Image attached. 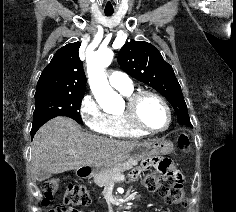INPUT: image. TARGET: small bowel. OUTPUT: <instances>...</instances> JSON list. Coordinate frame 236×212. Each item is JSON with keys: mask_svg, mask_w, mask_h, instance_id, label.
Returning <instances> with one entry per match:
<instances>
[{"mask_svg": "<svg viewBox=\"0 0 236 212\" xmlns=\"http://www.w3.org/2000/svg\"><path fill=\"white\" fill-rule=\"evenodd\" d=\"M161 170H162V171H165L166 169H165V168H161ZM80 212H82V211H80Z\"/></svg>", "mask_w": 236, "mask_h": 212, "instance_id": "c3829d8e", "label": "small bowel"}]
</instances>
